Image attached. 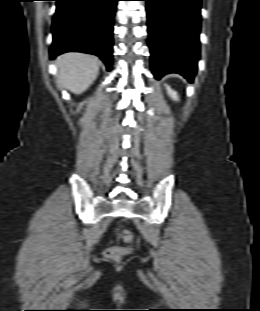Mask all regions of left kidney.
Returning <instances> with one entry per match:
<instances>
[{
	"label": "left kidney",
	"mask_w": 260,
	"mask_h": 311,
	"mask_svg": "<svg viewBox=\"0 0 260 311\" xmlns=\"http://www.w3.org/2000/svg\"><path fill=\"white\" fill-rule=\"evenodd\" d=\"M165 86H166V90H167L168 95H169L174 101H178V100H179V97H178L177 92L174 91L173 89H171L168 85H165Z\"/></svg>",
	"instance_id": "1"
}]
</instances>
